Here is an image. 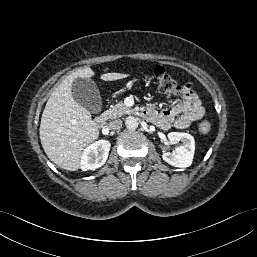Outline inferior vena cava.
I'll use <instances>...</instances> for the list:
<instances>
[{
	"instance_id": "inferior-vena-cava-1",
	"label": "inferior vena cava",
	"mask_w": 257,
	"mask_h": 257,
	"mask_svg": "<svg viewBox=\"0 0 257 257\" xmlns=\"http://www.w3.org/2000/svg\"><path fill=\"white\" fill-rule=\"evenodd\" d=\"M109 127L113 130H119L122 127V120H115L110 122Z\"/></svg>"
}]
</instances>
